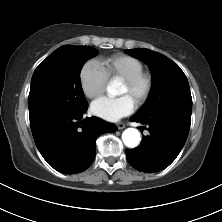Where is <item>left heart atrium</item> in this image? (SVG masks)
<instances>
[{
	"mask_svg": "<svg viewBox=\"0 0 222 222\" xmlns=\"http://www.w3.org/2000/svg\"><path fill=\"white\" fill-rule=\"evenodd\" d=\"M134 100L123 95L118 98L100 97L90 107L92 114L108 121H116L133 112Z\"/></svg>",
	"mask_w": 222,
	"mask_h": 222,
	"instance_id": "left-heart-atrium-1",
	"label": "left heart atrium"
}]
</instances>
